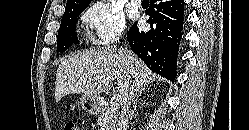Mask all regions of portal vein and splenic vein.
<instances>
[{"label": "portal vein and splenic vein", "instance_id": "portal-vein-and-splenic-vein-1", "mask_svg": "<svg viewBox=\"0 0 249 130\" xmlns=\"http://www.w3.org/2000/svg\"><path fill=\"white\" fill-rule=\"evenodd\" d=\"M120 100L121 98L119 96H113L111 101H110V106L112 110H117L118 107L120 106Z\"/></svg>", "mask_w": 249, "mask_h": 130}]
</instances>
